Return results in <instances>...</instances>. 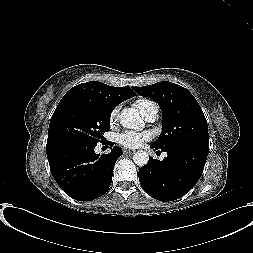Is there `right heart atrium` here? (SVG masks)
<instances>
[{
  "mask_svg": "<svg viewBox=\"0 0 253 253\" xmlns=\"http://www.w3.org/2000/svg\"><path fill=\"white\" fill-rule=\"evenodd\" d=\"M118 112H119V108L118 107L114 108L113 111L111 112V117L110 118H111L112 122L117 119Z\"/></svg>",
  "mask_w": 253,
  "mask_h": 253,
  "instance_id": "right-heart-atrium-1",
  "label": "right heart atrium"
}]
</instances>
